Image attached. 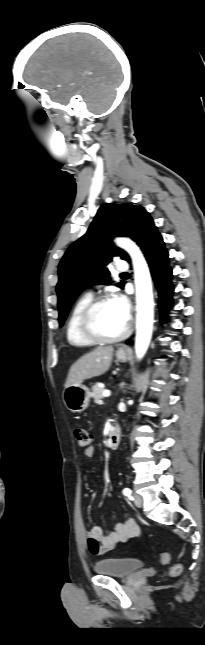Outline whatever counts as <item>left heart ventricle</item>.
<instances>
[{"mask_svg":"<svg viewBox=\"0 0 205 645\" xmlns=\"http://www.w3.org/2000/svg\"><path fill=\"white\" fill-rule=\"evenodd\" d=\"M127 322L123 319L112 301L101 305L95 315V328L105 336L119 334L126 327Z\"/></svg>","mask_w":205,"mask_h":645,"instance_id":"left-heart-ventricle-1","label":"left heart ventricle"}]
</instances>
